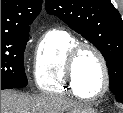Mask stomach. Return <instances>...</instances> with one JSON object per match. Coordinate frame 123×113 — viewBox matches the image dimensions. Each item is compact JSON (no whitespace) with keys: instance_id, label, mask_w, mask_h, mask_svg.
<instances>
[{"instance_id":"1","label":"stomach","mask_w":123,"mask_h":113,"mask_svg":"<svg viewBox=\"0 0 123 113\" xmlns=\"http://www.w3.org/2000/svg\"><path fill=\"white\" fill-rule=\"evenodd\" d=\"M77 113H96V112L94 110L87 109V110H83V111H80V112H77Z\"/></svg>"}]
</instances>
